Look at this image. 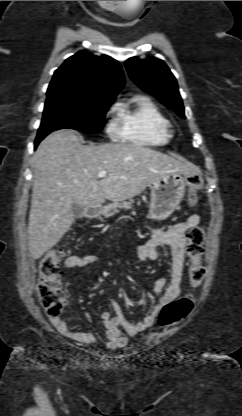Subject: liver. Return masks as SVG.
Instances as JSON below:
<instances>
[{"mask_svg":"<svg viewBox=\"0 0 242 416\" xmlns=\"http://www.w3.org/2000/svg\"><path fill=\"white\" fill-rule=\"evenodd\" d=\"M100 171L107 175L98 179ZM186 176L195 170L150 148L130 144L84 145L73 130H59L36 151L28 223L33 259L55 246L74 222L72 204L97 208L105 200L121 202L140 195L165 174Z\"/></svg>","mask_w":242,"mask_h":416,"instance_id":"obj_1","label":"liver"}]
</instances>
